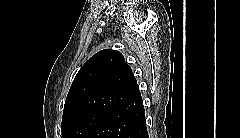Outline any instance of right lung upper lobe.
I'll use <instances>...</instances> for the list:
<instances>
[{
  "mask_svg": "<svg viewBox=\"0 0 240 138\" xmlns=\"http://www.w3.org/2000/svg\"><path fill=\"white\" fill-rule=\"evenodd\" d=\"M139 95L137 81L123 55L104 49L77 73L65 101L63 118L85 111L108 114Z\"/></svg>",
  "mask_w": 240,
  "mask_h": 138,
  "instance_id": "right-lung-upper-lobe-1",
  "label": "right lung upper lobe"
}]
</instances>
